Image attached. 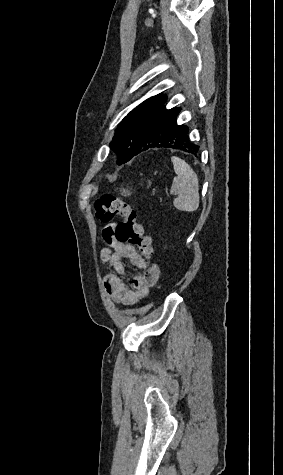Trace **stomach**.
Returning <instances> with one entry per match:
<instances>
[{
	"instance_id": "obj_1",
	"label": "stomach",
	"mask_w": 283,
	"mask_h": 475,
	"mask_svg": "<svg viewBox=\"0 0 283 475\" xmlns=\"http://www.w3.org/2000/svg\"><path fill=\"white\" fill-rule=\"evenodd\" d=\"M122 196H130L129 190H121Z\"/></svg>"
}]
</instances>
